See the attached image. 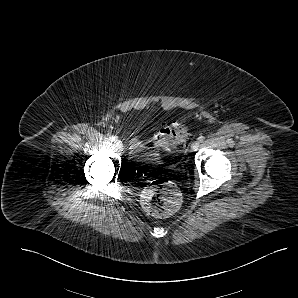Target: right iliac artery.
<instances>
[{"label": "right iliac artery", "mask_w": 298, "mask_h": 298, "mask_svg": "<svg viewBox=\"0 0 298 298\" xmlns=\"http://www.w3.org/2000/svg\"><path fill=\"white\" fill-rule=\"evenodd\" d=\"M110 140L113 141V142H115L116 141V137L115 136H111L110 137Z\"/></svg>", "instance_id": "82829eb1"}]
</instances>
